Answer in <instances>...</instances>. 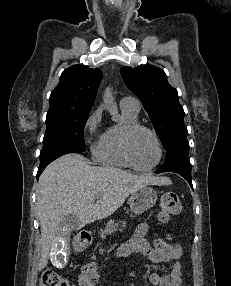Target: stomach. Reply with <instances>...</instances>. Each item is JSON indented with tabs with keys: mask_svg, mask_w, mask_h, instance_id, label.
<instances>
[{
	"mask_svg": "<svg viewBox=\"0 0 231 286\" xmlns=\"http://www.w3.org/2000/svg\"><path fill=\"white\" fill-rule=\"evenodd\" d=\"M158 199L156 191L148 186L137 189L132 192L129 198V205L131 211L136 214H142L152 208ZM82 244L80 248H84Z\"/></svg>",
	"mask_w": 231,
	"mask_h": 286,
	"instance_id": "0dacf381",
	"label": "stomach"
}]
</instances>
